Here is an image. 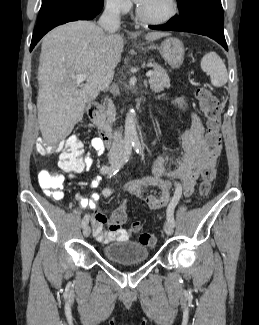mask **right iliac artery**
Masks as SVG:
<instances>
[{
	"label": "right iliac artery",
	"mask_w": 259,
	"mask_h": 325,
	"mask_svg": "<svg viewBox=\"0 0 259 325\" xmlns=\"http://www.w3.org/2000/svg\"><path fill=\"white\" fill-rule=\"evenodd\" d=\"M132 146H133V144H131V142H127L123 158L120 161H118L117 163H115L114 165H124L126 162H128L129 157L132 152ZM111 169H112V166L105 165V166L101 167L100 171L102 174H107V171L111 170ZM88 222H89V215L86 214L84 216V218L82 219V226L84 227L85 225L88 224Z\"/></svg>",
	"instance_id": "right-iliac-artery-1"
}]
</instances>
